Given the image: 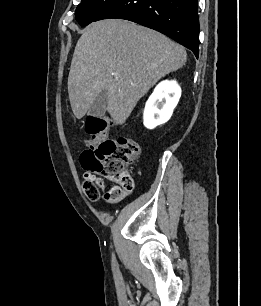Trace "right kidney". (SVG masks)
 <instances>
[{
	"label": "right kidney",
	"mask_w": 261,
	"mask_h": 306,
	"mask_svg": "<svg viewBox=\"0 0 261 306\" xmlns=\"http://www.w3.org/2000/svg\"><path fill=\"white\" fill-rule=\"evenodd\" d=\"M181 96V88L175 80L159 83L146 102L143 120L148 129L167 122Z\"/></svg>",
	"instance_id": "ca27d5eb"
}]
</instances>
